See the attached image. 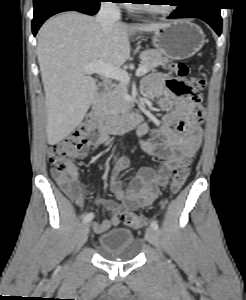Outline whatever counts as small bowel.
<instances>
[{
  "mask_svg": "<svg viewBox=\"0 0 246 300\" xmlns=\"http://www.w3.org/2000/svg\"><path fill=\"white\" fill-rule=\"evenodd\" d=\"M188 83L162 73L148 76L142 85L146 97H156L159 106L168 112L157 128H152L143 122L137 128L140 137V147L149 156L159 158L161 166L158 171L144 167L136 177L131 179L126 191L122 189L123 182L119 175L129 165L126 158L117 161L111 176V191L119 203L108 199H100L96 205L111 213L109 219L95 222L96 233L105 232L119 224L125 211L145 208L158 197L161 187L166 185L173 171L181 164L190 163L202 142L200 117L192 114V99L187 91ZM109 141V136L101 134L92 139L87 149L78 157L84 158L88 151H95ZM58 185L78 207L83 204V192L75 173L63 176L53 173Z\"/></svg>",
  "mask_w": 246,
  "mask_h": 300,
  "instance_id": "1",
  "label": "small bowel"
}]
</instances>
